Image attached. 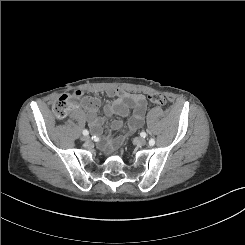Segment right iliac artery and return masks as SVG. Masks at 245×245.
<instances>
[{"mask_svg": "<svg viewBox=\"0 0 245 245\" xmlns=\"http://www.w3.org/2000/svg\"><path fill=\"white\" fill-rule=\"evenodd\" d=\"M89 134L88 130H83V135L87 136Z\"/></svg>", "mask_w": 245, "mask_h": 245, "instance_id": "right-iliac-artery-1", "label": "right iliac artery"}]
</instances>
